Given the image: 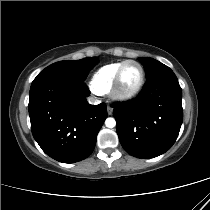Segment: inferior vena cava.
<instances>
[{"label": "inferior vena cava", "mask_w": 210, "mask_h": 210, "mask_svg": "<svg viewBox=\"0 0 210 210\" xmlns=\"http://www.w3.org/2000/svg\"><path fill=\"white\" fill-rule=\"evenodd\" d=\"M87 100L90 104H94V105H97L100 103V101L96 97H88Z\"/></svg>", "instance_id": "602c4592"}]
</instances>
